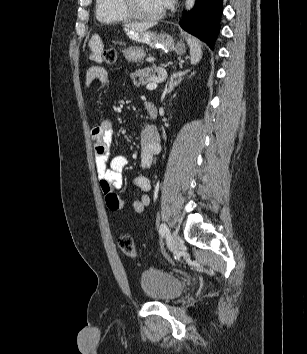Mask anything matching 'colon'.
<instances>
[{"label": "colon", "mask_w": 307, "mask_h": 354, "mask_svg": "<svg viewBox=\"0 0 307 354\" xmlns=\"http://www.w3.org/2000/svg\"><path fill=\"white\" fill-rule=\"evenodd\" d=\"M118 51L115 48H108L102 52V59L107 64H112L117 60ZM119 248L127 258H135L137 255L136 246L131 236L124 234L119 237Z\"/></svg>", "instance_id": "obj_1"}]
</instances>
